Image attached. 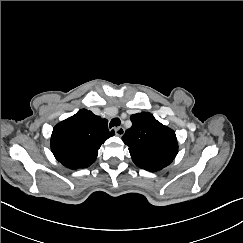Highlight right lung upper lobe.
I'll list each match as a JSON object with an SVG mask.
<instances>
[{
	"mask_svg": "<svg viewBox=\"0 0 243 243\" xmlns=\"http://www.w3.org/2000/svg\"><path fill=\"white\" fill-rule=\"evenodd\" d=\"M114 134L106 119L81 109L53 128L51 150L65 167L86 168L96 160L101 144Z\"/></svg>",
	"mask_w": 243,
	"mask_h": 243,
	"instance_id": "cb5924a9",
	"label": "right lung upper lobe"
}]
</instances>
